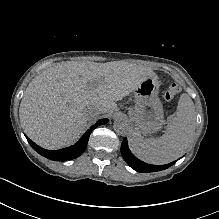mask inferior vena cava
<instances>
[{"instance_id":"602c4592","label":"inferior vena cava","mask_w":219,"mask_h":219,"mask_svg":"<svg viewBox=\"0 0 219 219\" xmlns=\"http://www.w3.org/2000/svg\"><path fill=\"white\" fill-rule=\"evenodd\" d=\"M89 116L92 121L98 122L103 119L104 113L101 108L95 107L90 110Z\"/></svg>"}]
</instances>
